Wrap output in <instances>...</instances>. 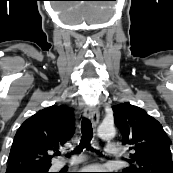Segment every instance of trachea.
<instances>
[{"instance_id":"obj_1","label":"trachea","mask_w":173,"mask_h":173,"mask_svg":"<svg viewBox=\"0 0 173 173\" xmlns=\"http://www.w3.org/2000/svg\"><path fill=\"white\" fill-rule=\"evenodd\" d=\"M81 133H82V136H81L80 143L78 147L76 148V150L73 151V154L80 153L84 148L92 149L90 142L93 137V128H92V124L90 120H88L87 118L82 119ZM96 152L99 153V151H96Z\"/></svg>"}]
</instances>
